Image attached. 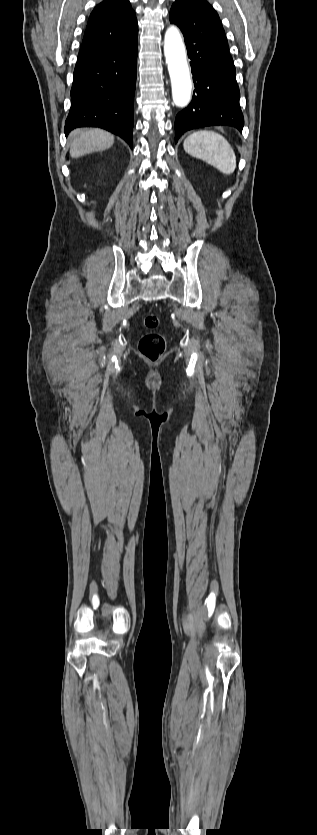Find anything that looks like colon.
Instances as JSON below:
<instances>
[{
    "mask_svg": "<svg viewBox=\"0 0 317 835\" xmlns=\"http://www.w3.org/2000/svg\"><path fill=\"white\" fill-rule=\"evenodd\" d=\"M143 324L146 328L153 329L159 324L158 317L150 314L144 317ZM139 352L145 358L155 361L159 359L165 352L166 341L163 335L159 333H148L142 336L138 345Z\"/></svg>",
    "mask_w": 317,
    "mask_h": 835,
    "instance_id": "1",
    "label": "colon"
}]
</instances>
